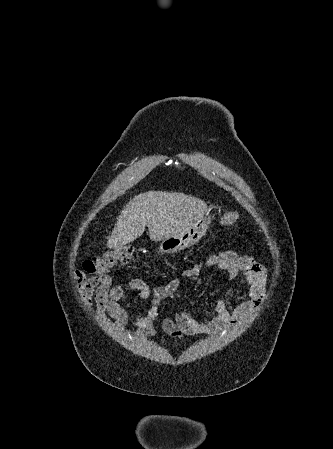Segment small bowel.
<instances>
[{
	"label": "small bowel",
	"instance_id": "obj_1",
	"mask_svg": "<svg viewBox=\"0 0 333 449\" xmlns=\"http://www.w3.org/2000/svg\"><path fill=\"white\" fill-rule=\"evenodd\" d=\"M207 264L225 271L231 278L243 273L248 289L247 297L240 301L232 312L227 309L225 300L219 299L215 305L214 317L208 323L197 321L185 311L177 312L172 318H164L161 327L172 339L183 341L185 336L210 334L235 328L253 313L264 299L267 273L252 256L239 255L235 251H223L210 257ZM200 270L201 265L196 264L186 269L181 276L153 289L141 279L116 284L107 274L87 276L85 270L76 271L74 279L84 303L91 306L94 302L97 315L104 319L109 317L116 327H124L128 322V314L120 305L121 299L128 293H137L141 301L149 303L146 313L138 312L136 315L137 335L152 337L155 335L162 301L166 298H175L182 279L197 276Z\"/></svg>",
	"mask_w": 333,
	"mask_h": 449
}]
</instances>
